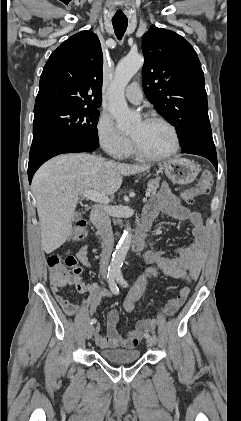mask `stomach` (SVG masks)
I'll list each match as a JSON object with an SVG mask.
<instances>
[{
  "mask_svg": "<svg viewBox=\"0 0 241 421\" xmlns=\"http://www.w3.org/2000/svg\"><path fill=\"white\" fill-rule=\"evenodd\" d=\"M166 176L174 183L189 184L198 175L197 166L186 158H173L162 164Z\"/></svg>",
  "mask_w": 241,
  "mask_h": 421,
  "instance_id": "0dacf381",
  "label": "stomach"
}]
</instances>
